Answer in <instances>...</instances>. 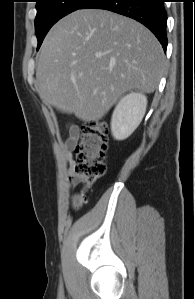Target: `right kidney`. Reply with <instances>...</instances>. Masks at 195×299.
Masks as SVG:
<instances>
[{"label":"right kidney","mask_w":195,"mask_h":299,"mask_svg":"<svg viewBox=\"0 0 195 299\" xmlns=\"http://www.w3.org/2000/svg\"><path fill=\"white\" fill-rule=\"evenodd\" d=\"M147 107V97L131 92L120 99L111 118V133L116 140L128 138L142 121Z\"/></svg>","instance_id":"right-kidney-1"}]
</instances>
